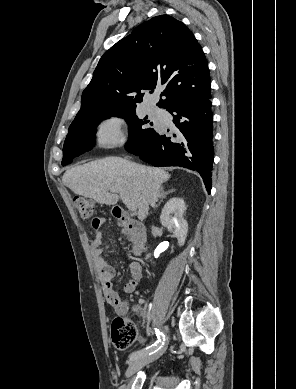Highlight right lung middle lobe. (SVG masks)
Segmentation results:
<instances>
[{
	"label": "right lung middle lobe",
	"mask_w": 296,
	"mask_h": 389,
	"mask_svg": "<svg viewBox=\"0 0 296 389\" xmlns=\"http://www.w3.org/2000/svg\"><path fill=\"white\" fill-rule=\"evenodd\" d=\"M135 108L93 109L75 118L64 142L62 165L69 164L74 157L90 150L94 143L96 126L101 120L111 116L124 118L128 123L129 140L125 145L126 149L128 151L142 149L156 131L146 125L148 121L138 118Z\"/></svg>",
	"instance_id": "1"
}]
</instances>
